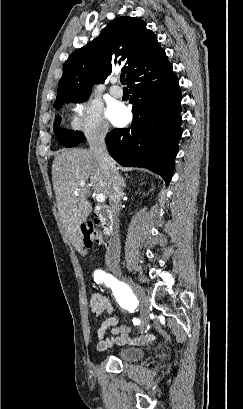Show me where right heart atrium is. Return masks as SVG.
<instances>
[{
    "label": "right heart atrium",
    "instance_id": "1",
    "mask_svg": "<svg viewBox=\"0 0 243 409\" xmlns=\"http://www.w3.org/2000/svg\"><path fill=\"white\" fill-rule=\"evenodd\" d=\"M70 125L73 131L89 139H102L109 132L100 104L90 97L71 104Z\"/></svg>",
    "mask_w": 243,
    "mask_h": 409
}]
</instances>
